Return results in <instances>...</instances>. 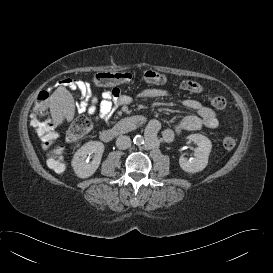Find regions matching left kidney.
<instances>
[{"label":"left kidney","mask_w":273,"mask_h":273,"mask_svg":"<svg viewBox=\"0 0 273 273\" xmlns=\"http://www.w3.org/2000/svg\"><path fill=\"white\" fill-rule=\"evenodd\" d=\"M187 139L194 142L197 147L194 149V158L188 160L183 156L180 157V167L188 173L200 172L208 164V158L212 148L211 141L201 134H191Z\"/></svg>","instance_id":"left-kidney-1"}]
</instances>
